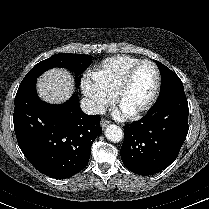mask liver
Here are the masks:
<instances>
[{
  "label": "liver",
  "instance_id": "obj_1",
  "mask_svg": "<svg viewBox=\"0 0 209 209\" xmlns=\"http://www.w3.org/2000/svg\"><path fill=\"white\" fill-rule=\"evenodd\" d=\"M73 90V78L65 69L53 68L37 80L39 97L52 104L65 102L71 97Z\"/></svg>",
  "mask_w": 209,
  "mask_h": 209
}]
</instances>
